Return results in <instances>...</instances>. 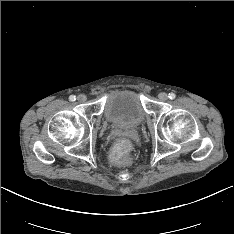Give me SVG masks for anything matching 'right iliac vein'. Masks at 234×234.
<instances>
[{
  "instance_id": "obj_1",
  "label": "right iliac vein",
  "mask_w": 234,
  "mask_h": 234,
  "mask_svg": "<svg viewBox=\"0 0 234 234\" xmlns=\"http://www.w3.org/2000/svg\"><path fill=\"white\" fill-rule=\"evenodd\" d=\"M77 100L82 103V102H85L87 100V97L84 94H80L77 97Z\"/></svg>"
}]
</instances>
